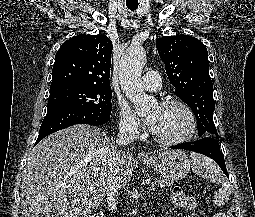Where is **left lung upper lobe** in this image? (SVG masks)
Segmentation results:
<instances>
[{
  "label": "left lung upper lobe",
  "mask_w": 255,
  "mask_h": 217,
  "mask_svg": "<svg viewBox=\"0 0 255 217\" xmlns=\"http://www.w3.org/2000/svg\"><path fill=\"white\" fill-rule=\"evenodd\" d=\"M156 48L165 64L169 81L175 87V94L197 118L198 136L216 137L213 84L205 45L197 38L180 34L158 38Z\"/></svg>",
  "instance_id": "1"
}]
</instances>
